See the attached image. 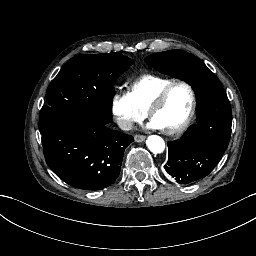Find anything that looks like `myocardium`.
<instances>
[{
    "label": "myocardium",
    "mask_w": 256,
    "mask_h": 256,
    "mask_svg": "<svg viewBox=\"0 0 256 256\" xmlns=\"http://www.w3.org/2000/svg\"><path fill=\"white\" fill-rule=\"evenodd\" d=\"M176 84H182V85H184L188 89V91L190 93V96H191V107H190V111H189L187 117L185 118V120L180 125H178L174 129H172L170 132H167L168 135H174V134L180 133L183 130H185L186 127L189 125L190 121L192 120V118L195 115V111H196V96H195V92H194L191 84L187 80H185L183 78L175 79L171 84H169L167 87H165L161 91V93L157 96V98L154 101H152L147 106V108H146L147 116L152 117L153 110H155L156 108H158L159 106L162 105V103L167 98L169 91Z\"/></svg>",
    "instance_id": "obj_1"
}]
</instances>
